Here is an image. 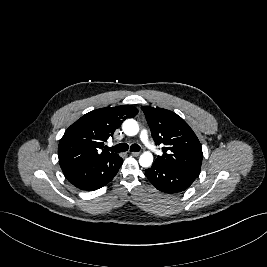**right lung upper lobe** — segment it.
<instances>
[{
  "mask_svg": "<svg viewBox=\"0 0 267 267\" xmlns=\"http://www.w3.org/2000/svg\"><path fill=\"white\" fill-rule=\"evenodd\" d=\"M137 113L134 106L122 105L97 109L82 116L65 131L59 142L61 169L117 155L103 149L104 142L113 136L125 119Z\"/></svg>",
  "mask_w": 267,
  "mask_h": 267,
  "instance_id": "cb5924a9",
  "label": "right lung upper lobe"
}]
</instances>
